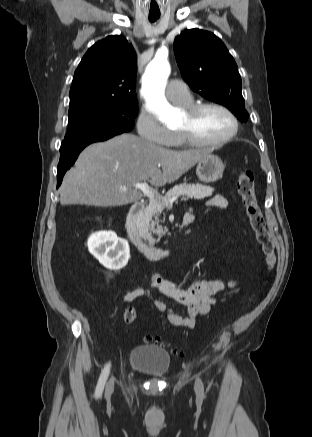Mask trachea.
<instances>
[{"label":"trachea","instance_id":"trachea-1","mask_svg":"<svg viewBox=\"0 0 312 437\" xmlns=\"http://www.w3.org/2000/svg\"><path fill=\"white\" fill-rule=\"evenodd\" d=\"M160 15H149V21L151 23H154L155 21H157L159 19Z\"/></svg>","mask_w":312,"mask_h":437}]
</instances>
